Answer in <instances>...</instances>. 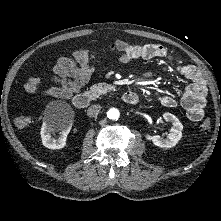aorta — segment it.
Instances as JSON below:
<instances>
[{"instance_id": "1", "label": "aorta", "mask_w": 221, "mask_h": 221, "mask_svg": "<svg viewBox=\"0 0 221 221\" xmlns=\"http://www.w3.org/2000/svg\"><path fill=\"white\" fill-rule=\"evenodd\" d=\"M107 116L109 119L117 120L120 116L119 110L116 108H111L108 110Z\"/></svg>"}]
</instances>
